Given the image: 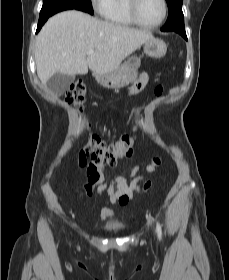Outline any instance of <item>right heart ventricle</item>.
I'll return each mask as SVG.
<instances>
[{"mask_svg": "<svg viewBox=\"0 0 229 280\" xmlns=\"http://www.w3.org/2000/svg\"><path fill=\"white\" fill-rule=\"evenodd\" d=\"M127 3V0H111L109 7L102 15L105 21L118 27L135 26L128 12Z\"/></svg>", "mask_w": 229, "mask_h": 280, "instance_id": "obj_1", "label": "right heart ventricle"}]
</instances>
